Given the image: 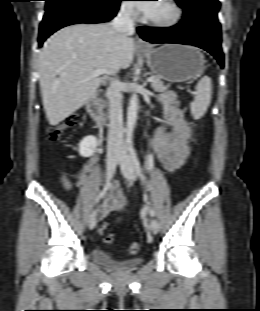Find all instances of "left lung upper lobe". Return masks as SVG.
<instances>
[{"mask_svg":"<svg viewBox=\"0 0 260 311\" xmlns=\"http://www.w3.org/2000/svg\"><path fill=\"white\" fill-rule=\"evenodd\" d=\"M184 9V19H203L219 25L217 13L220 7L218 0H175Z\"/></svg>","mask_w":260,"mask_h":311,"instance_id":"obj_1","label":"left lung upper lobe"}]
</instances>
